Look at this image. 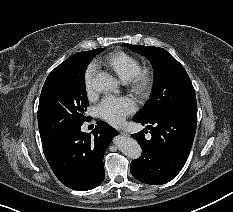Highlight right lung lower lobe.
<instances>
[{
	"label": "right lung lower lobe",
	"instance_id": "right-lung-lower-lobe-1",
	"mask_svg": "<svg viewBox=\"0 0 233 212\" xmlns=\"http://www.w3.org/2000/svg\"><path fill=\"white\" fill-rule=\"evenodd\" d=\"M81 125L43 144L45 157L57 178L67 187L85 191L99 186L104 178V153L118 132L103 121L93 134L81 131Z\"/></svg>",
	"mask_w": 233,
	"mask_h": 212
}]
</instances>
